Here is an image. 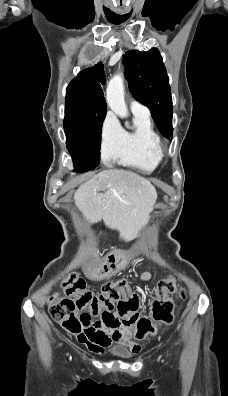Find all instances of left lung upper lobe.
<instances>
[{
    "mask_svg": "<svg viewBox=\"0 0 228 396\" xmlns=\"http://www.w3.org/2000/svg\"><path fill=\"white\" fill-rule=\"evenodd\" d=\"M125 76L133 97L147 106L158 130L172 139V98L169 78L159 50H131L123 57Z\"/></svg>",
    "mask_w": 228,
    "mask_h": 396,
    "instance_id": "left-lung-upper-lobe-1",
    "label": "left lung upper lobe"
}]
</instances>
